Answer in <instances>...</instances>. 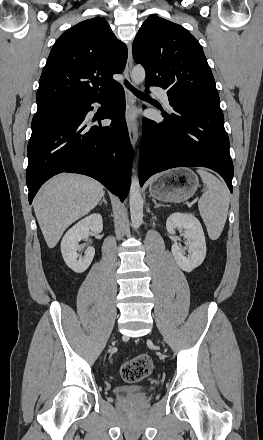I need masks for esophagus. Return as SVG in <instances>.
<instances>
[{"mask_svg":"<svg viewBox=\"0 0 263 440\" xmlns=\"http://www.w3.org/2000/svg\"><path fill=\"white\" fill-rule=\"evenodd\" d=\"M132 66H133L132 47L131 44H129L125 75L130 83H131ZM125 91H126V116H127L129 138L132 146L135 147L138 140L137 122L133 115L136 109V98L134 94L131 92V90H129L128 88H126Z\"/></svg>","mask_w":263,"mask_h":440,"instance_id":"1","label":"esophagus"}]
</instances>
